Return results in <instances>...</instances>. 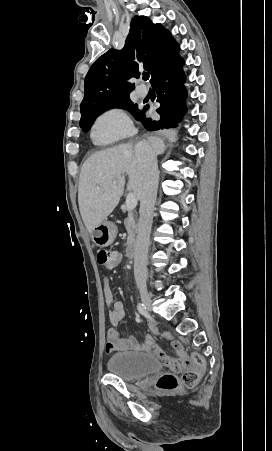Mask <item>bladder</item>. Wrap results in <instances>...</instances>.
<instances>
[{"label": "bladder", "instance_id": "1", "mask_svg": "<svg viewBox=\"0 0 272 451\" xmlns=\"http://www.w3.org/2000/svg\"><path fill=\"white\" fill-rule=\"evenodd\" d=\"M161 368L158 358L139 352H116L107 361L108 373L124 382L141 381Z\"/></svg>", "mask_w": 272, "mask_h": 451}]
</instances>
